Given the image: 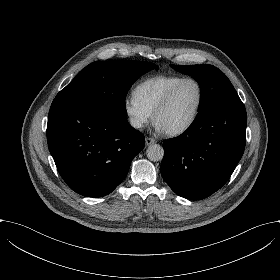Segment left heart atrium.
Here are the masks:
<instances>
[{
  "label": "left heart atrium",
  "instance_id": "1",
  "mask_svg": "<svg viewBox=\"0 0 280 280\" xmlns=\"http://www.w3.org/2000/svg\"><path fill=\"white\" fill-rule=\"evenodd\" d=\"M154 129L156 132L158 133H164L167 131V128L164 126V124L162 122H160L159 120H156L154 122Z\"/></svg>",
  "mask_w": 280,
  "mask_h": 280
}]
</instances>
